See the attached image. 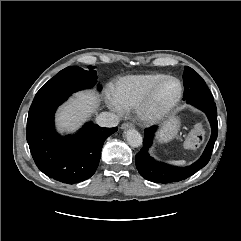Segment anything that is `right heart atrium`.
I'll list each match as a JSON object with an SVG mask.
<instances>
[{
    "label": "right heart atrium",
    "instance_id": "right-heart-atrium-1",
    "mask_svg": "<svg viewBox=\"0 0 241 241\" xmlns=\"http://www.w3.org/2000/svg\"><path fill=\"white\" fill-rule=\"evenodd\" d=\"M106 103L110 109H112L116 113H123L124 109L120 106V104L116 101V99L113 97V95L108 94L106 96Z\"/></svg>",
    "mask_w": 241,
    "mask_h": 241
}]
</instances>
